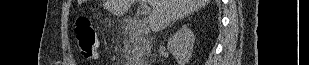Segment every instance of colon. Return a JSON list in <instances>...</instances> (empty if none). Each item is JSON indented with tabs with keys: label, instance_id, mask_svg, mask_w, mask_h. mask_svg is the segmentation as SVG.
I'll list each match as a JSON object with an SVG mask.
<instances>
[{
	"label": "colon",
	"instance_id": "colon-1",
	"mask_svg": "<svg viewBox=\"0 0 309 65\" xmlns=\"http://www.w3.org/2000/svg\"><path fill=\"white\" fill-rule=\"evenodd\" d=\"M76 35L83 57L88 60L95 59L99 52V42L95 30L87 18L77 19Z\"/></svg>",
	"mask_w": 309,
	"mask_h": 65
}]
</instances>
